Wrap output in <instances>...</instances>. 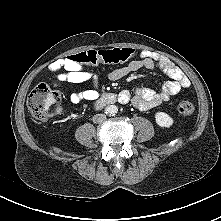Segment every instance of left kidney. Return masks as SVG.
<instances>
[{"label":"left kidney","instance_id":"obj_1","mask_svg":"<svg viewBox=\"0 0 221 221\" xmlns=\"http://www.w3.org/2000/svg\"><path fill=\"white\" fill-rule=\"evenodd\" d=\"M155 121L158 126L169 128L173 124V119L165 112H157L155 114Z\"/></svg>","mask_w":221,"mask_h":221}]
</instances>
